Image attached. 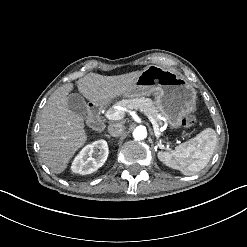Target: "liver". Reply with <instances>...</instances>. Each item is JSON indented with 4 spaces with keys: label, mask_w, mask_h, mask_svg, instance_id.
<instances>
[{
    "label": "liver",
    "mask_w": 247,
    "mask_h": 247,
    "mask_svg": "<svg viewBox=\"0 0 247 247\" xmlns=\"http://www.w3.org/2000/svg\"><path fill=\"white\" fill-rule=\"evenodd\" d=\"M140 71L118 76L88 73L76 81L80 92L93 103L121 96L130 88ZM72 84H65L49 97L40 117L39 143L45 164L54 173L64 170L73 153L85 142L83 119L72 113L66 97Z\"/></svg>",
    "instance_id": "1"
}]
</instances>
